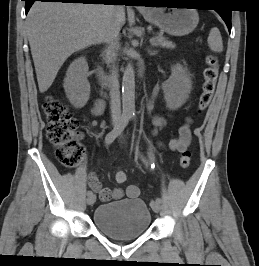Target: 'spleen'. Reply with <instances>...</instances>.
I'll list each match as a JSON object with an SVG mask.
<instances>
[{
    "label": "spleen",
    "instance_id": "obj_1",
    "mask_svg": "<svg viewBox=\"0 0 259 266\" xmlns=\"http://www.w3.org/2000/svg\"><path fill=\"white\" fill-rule=\"evenodd\" d=\"M207 42L212 51L217 53H221L223 51L222 37L218 28L214 27L210 30Z\"/></svg>",
    "mask_w": 259,
    "mask_h": 266
}]
</instances>
